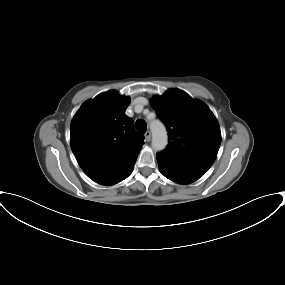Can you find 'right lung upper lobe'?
I'll return each instance as SVG.
<instances>
[{
	"instance_id": "1",
	"label": "right lung upper lobe",
	"mask_w": 285,
	"mask_h": 285,
	"mask_svg": "<svg viewBox=\"0 0 285 285\" xmlns=\"http://www.w3.org/2000/svg\"><path fill=\"white\" fill-rule=\"evenodd\" d=\"M129 104V97L107 91L83 103L71 122L72 152L87 176L101 185H111L132 167L144 144L125 115Z\"/></svg>"
}]
</instances>
